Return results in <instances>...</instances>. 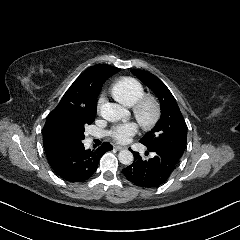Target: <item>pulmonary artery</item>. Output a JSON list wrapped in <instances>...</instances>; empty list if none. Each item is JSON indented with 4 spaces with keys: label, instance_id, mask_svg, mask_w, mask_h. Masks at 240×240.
<instances>
[{
    "label": "pulmonary artery",
    "instance_id": "1",
    "mask_svg": "<svg viewBox=\"0 0 240 240\" xmlns=\"http://www.w3.org/2000/svg\"><path fill=\"white\" fill-rule=\"evenodd\" d=\"M91 141H92V139H91V138H89V139H88V143H90Z\"/></svg>",
    "mask_w": 240,
    "mask_h": 240
}]
</instances>
